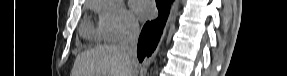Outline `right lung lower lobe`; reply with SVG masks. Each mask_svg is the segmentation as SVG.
<instances>
[{
    "mask_svg": "<svg viewBox=\"0 0 287 76\" xmlns=\"http://www.w3.org/2000/svg\"><path fill=\"white\" fill-rule=\"evenodd\" d=\"M171 2L172 0H156L159 16L156 20L144 25L139 37L137 56L140 62L155 50L167 20Z\"/></svg>",
    "mask_w": 287,
    "mask_h": 76,
    "instance_id": "right-lung-lower-lobe-1",
    "label": "right lung lower lobe"
}]
</instances>
